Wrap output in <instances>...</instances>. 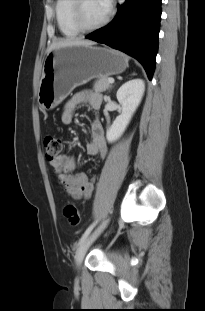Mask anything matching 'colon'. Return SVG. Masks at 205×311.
<instances>
[{"mask_svg":"<svg viewBox=\"0 0 205 311\" xmlns=\"http://www.w3.org/2000/svg\"><path fill=\"white\" fill-rule=\"evenodd\" d=\"M63 141L55 136H46L44 139L45 157L51 162L60 155ZM63 214L71 227H77L80 224V212L74 202H68L63 209Z\"/></svg>","mask_w":205,"mask_h":311,"instance_id":"colon-1","label":"colon"}]
</instances>
